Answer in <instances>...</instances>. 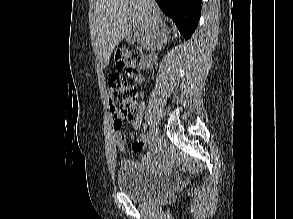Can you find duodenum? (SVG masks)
Segmentation results:
<instances>
[{"label":"duodenum","mask_w":293,"mask_h":219,"mask_svg":"<svg viewBox=\"0 0 293 219\" xmlns=\"http://www.w3.org/2000/svg\"><path fill=\"white\" fill-rule=\"evenodd\" d=\"M148 63H149V57H147L146 55H142L141 61H140V67L142 69H144V68H146L148 66ZM136 80H137L138 83H141L143 81V79L140 76H138L136 78Z\"/></svg>","instance_id":"1"}]
</instances>
